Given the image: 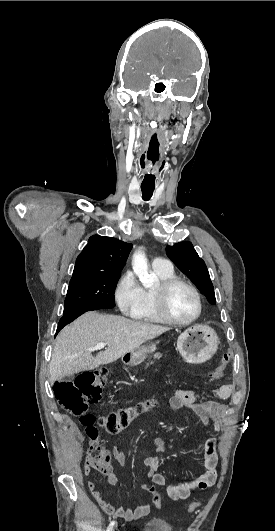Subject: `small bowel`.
<instances>
[{"instance_id": "obj_1", "label": "small bowel", "mask_w": 275, "mask_h": 531, "mask_svg": "<svg viewBox=\"0 0 275 531\" xmlns=\"http://www.w3.org/2000/svg\"><path fill=\"white\" fill-rule=\"evenodd\" d=\"M234 386L231 383L221 385L212 391H197L183 388H175L170 398V408L174 411L190 410L196 414L204 427L209 429L207 438L203 443L204 469L201 476L193 483H182L179 485L169 484L165 477L158 472V459L155 456H146L143 464L148 472L151 481L158 486H165L167 496L173 501L187 500L195 491L207 490L217 478L218 454L217 439L215 432L220 431L222 427L221 415L225 406L220 400H226L231 397ZM211 397L212 399L201 401L203 398ZM154 450L156 453H163L166 450L163 439L156 436L153 439ZM114 460L120 465L127 462L126 454L118 447L112 449ZM91 467H83V473L91 475ZM108 482L116 485L119 483L117 476L108 472ZM88 488L100 508L111 518H120L127 521L136 520L149 514L150 506L147 503H140L135 509L117 507L107 501L97 484L93 481L87 483Z\"/></svg>"}]
</instances>
